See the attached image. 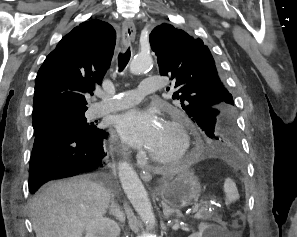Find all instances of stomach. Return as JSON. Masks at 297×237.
<instances>
[{"label":"stomach","mask_w":297,"mask_h":237,"mask_svg":"<svg viewBox=\"0 0 297 237\" xmlns=\"http://www.w3.org/2000/svg\"><path fill=\"white\" fill-rule=\"evenodd\" d=\"M201 193L202 186L198 178L188 170L163 184L160 190L162 203L176 208L194 205L200 199Z\"/></svg>","instance_id":"stomach-1"}]
</instances>
